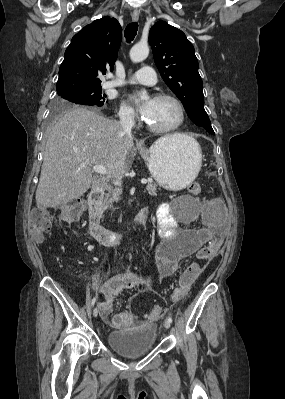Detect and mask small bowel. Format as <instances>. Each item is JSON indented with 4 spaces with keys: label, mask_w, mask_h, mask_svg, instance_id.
I'll return each instance as SVG.
<instances>
[{
    "label": "small bowel",
    "mask_w": 285,
    "mask_h": 399,
    "mask_svg": "<svg viewBox=\"0 0 285 399\" xmlns=\"http://www.w3.org/2000/svg\"><path fill=\"white\" fill-rule=\"evenodd\" d=\"M155 216L161 237L153 256L157 274L153 276L126 270L111 276L100 286L104 299L98 305L99 314L103 322L112 328L130 330L138 326L131 312L110 315L115 296L133 287L150 285L156 278L174 275L182 259L193 253L200 258L201 249L211 241L221 240L223 235L225 213L222 202L217 198L208 199L201 205H187L177 214L170 203L163 202L158 205ZM181 223L187 226L183 227ZM197 223L203 226L198 227ZM187 293L181 294L176 289L173 300L180 301ZM145 323L143 321L139 325Z\"/></svg>",
    "instance_id": "obj_1"
}]
</instances>
